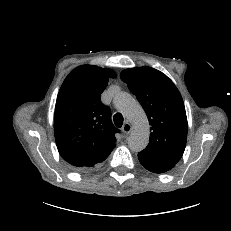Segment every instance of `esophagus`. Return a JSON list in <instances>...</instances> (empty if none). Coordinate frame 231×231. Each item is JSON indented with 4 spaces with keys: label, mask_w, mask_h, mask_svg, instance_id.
I'll use <instances>...</instances> for the list:
<instances>
[{
    "label": "esophagus",
    "mask_w": 231,
    "mask_h": 231,
    "mask_svg": "<svg viewBox=\"0 0 231 231\" xmlns=\"http://www.w3.org/2000/svg\"><path fill=\"white\" fill-rule=\"evenodd\" d=\"M131 125L129 123H125L122 127V132L126 135H128L131 132Z\"/></svg>",
    "instance_id": "34e87169"
}]
</instances>
